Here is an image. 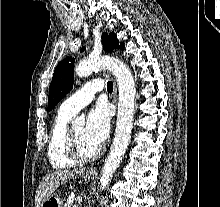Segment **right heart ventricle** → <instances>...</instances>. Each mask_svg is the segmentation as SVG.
Instances as JSON below:
<instances>
[{
    "mask_svg": "<svg viewBox=\"0 0 220 207\" xmlns=\"http://www.w3.org/2000/svg\"><path fill=\"white\" fill-rule=\"evenodd\" d=\"M71 117V115L59 111L51 128L47 155L51 166L55 169H67L76 164L67 155L65 148V136Z\"/></svg>",
    "mask_w": 220,
    "mask_h": 207,
    "instance_id": "1",
    "label": "right heart ventricle"
}]
</instances>
